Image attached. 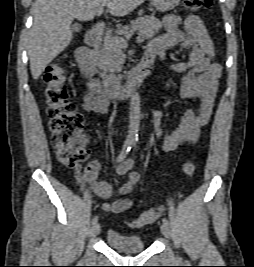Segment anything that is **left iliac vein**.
Masks as SVG:
<instances>
[{"label":"left iliac vein","mask_w":254,"mask_h":267,"mask_svg":"<svg viewBox=\"0 0 254 267\" xmlns=\"http://www.w3.org/2000/svg\"><path fill=\"white\" fill-rule=\"evenodd\" d=\"M160 229H161L162 234H163L166 238H168V239L171 238V232H170V229H169V227H168L166 224H164V223L161 224Z\"/></svg>","instance_id":"obj_1"}]
</instances>
